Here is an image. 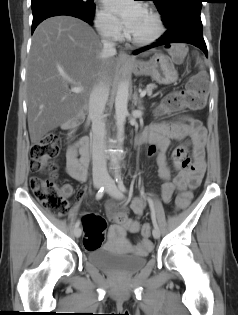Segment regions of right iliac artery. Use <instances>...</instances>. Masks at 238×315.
<instances>
[{
	"label": "right iliac artery",
	"mask_w": 238,
	"mask_h": 315,
	"mask_svg": "<svg viewBox=\"0 0 238 315\" xmlns=\"http://www.w3.org/2000/svg\"><path fill=\"white\" fill-rule=\"evenodd\" d=\"M104 192H105V187H101L96 194V199L102 198V196L104 195ZM79 225H80V221L78 220L75 223V227H78Z\"/></svg>",
	"instance_id": "right-iliac-artery-1"
}]
</instances>
